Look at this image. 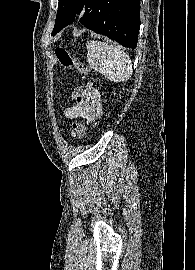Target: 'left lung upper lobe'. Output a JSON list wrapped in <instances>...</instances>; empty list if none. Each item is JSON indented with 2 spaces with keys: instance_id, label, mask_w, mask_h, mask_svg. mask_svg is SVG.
Here are the masks:
<instances>
[{
  "instance_id": "left-lung-upper-lobe-1",
  "label": "left lung upper lobe",
  "mask_w": 195,
  "mask_h": 270,
  "mask_svg": "<svg viewBox=\"0 0 195 270\" xmlns=\"http://www.w3.org/2000/svg\"><path fill=\"white\" fill-rule=\"evenodd\" d=\"M87 0H59L55 26L51 35H56L65 26L71 24L82 10Z\"/></svg>"
}]
</instances>
